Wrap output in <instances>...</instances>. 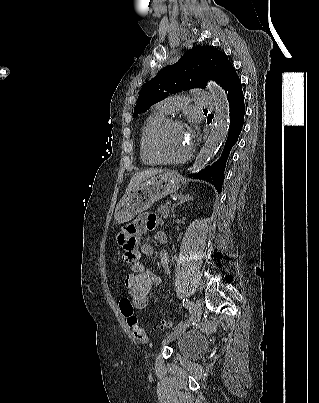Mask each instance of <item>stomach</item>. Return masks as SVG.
Listing matches in <instances>:
<instances>
[{"label":"stomach","instance_id":"0dacf381","mask_svg":"<svg viewBox=\"0 0 319 403\" xmlns=\"http://www.w3.org/2000/svg\"><path fill=\"white\" fill-rule=\"evenodd\" d=\"M182 177L167 171L141 182L125 195L116 207L114 218L119 224L132 220L137 214L149 209L152 204L180 188Z\"/></svg>","mask_w":319,"mask_h":403}]
</instances>
